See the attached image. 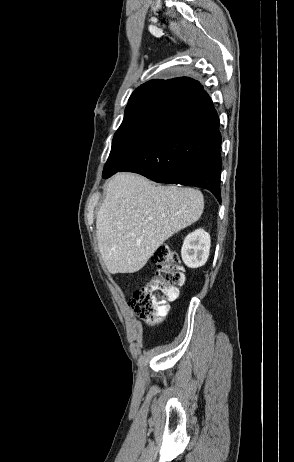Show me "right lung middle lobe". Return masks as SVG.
I'll return each mask as SVG.
<instances>
[{
  "label": "right lung middle lobe",
  "instance_id": "dd1d6c3e",
  "mask_svg": "<svg viewBox=\"0 0 294 462\" xmlns=\"http://www.w3.org/2000/svg\"><path fill=\"white\" fill-rule=\"evenodd\" d=\"M187 104L185 98L171 94L127 108L114 135L103 176L116 173L146 143L162 133Z\"/></svg>",
  "mask_w": 294,
  "mask_h": 462
}]
</instances>
